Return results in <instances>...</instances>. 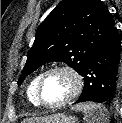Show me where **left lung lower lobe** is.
I'll return each mask as SVG.
<instances>
[{
	"mask_svg": "<svg viewBox=\"0 0 122 123\" xmlns=\"http://www.w3.org/2000/svg\"><path fill=\"white\" fill-rule=\"evenodd\" d=\"M120 48L118 32L113 27L92 53L81 73L84 88L74 104L86 101L112 102L116 99Z\"/></svg>",
	"mask_w": 122,
	"mask_h": 123,
	"instance_id": "left-lung-lower-lobe-1",
	"label": "left lung lower lobe"
}]
</instances>
